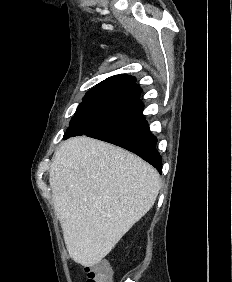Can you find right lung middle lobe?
Returning a JSON list of instances; mask_svg holds the SVG:
<instances>
[{
	"label": "right lung middle lobe",
	"instance_id": "right-lung-middle-lobe-1",
	"mask_svg": "<svg viewBox=\"0 0 232 282\" xmlns=\"http://www.w3.org/2000/svg\"><path fill=\"white\" fill-rule=\"evenodd\" d=\"M136 91H107L87 93L78 106L64 139L89 136L133 124L144 119V104Z\"/></svg>",
	"mask_w": 232,
	"mask_h": 282
}]
</instances>
